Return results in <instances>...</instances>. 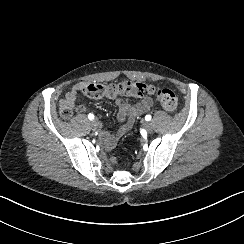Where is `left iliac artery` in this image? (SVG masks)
<instances>
[{"instance_id":"1","label":"left iliac artery","mask_w":244,"mask_h":244,"mask_svg":"<svg viewBox=\"0 0 244 244\" xmlns=\"http://www.w3.org/2000/svg\"><path fill=\"white\" fill-rule=\"evenodd\" d=\"M145 120H146V121H150V120H151V115H146V116H145Z\"/></svg>"}]
</instances>
